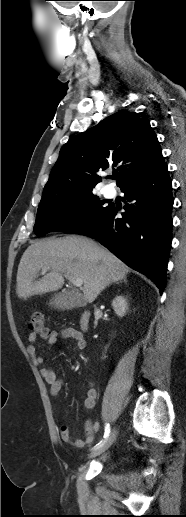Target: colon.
I'll use <instances>...</instances> for the list:
<instances>
[{"instance_id": "obj_1", "label": "colon", "mask_w": 186, "mask_h": 517, "mask_svg": "<svg viewBox=\"0 0 186 517\" xmlns=\"http://www.w3.org/2000/svg\"><path fill=\"white\" fill-rule=\"evenodd\" d=\"M29 328L33 335L41 337H47L49 335L44 316L39 312L32 314L29 322Z\"/></svg>"}]
</instances>
